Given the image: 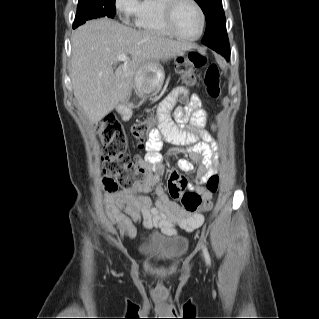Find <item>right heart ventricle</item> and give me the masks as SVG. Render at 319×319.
Wrapping results in <instances>:
<instances>
[{"instance_id": "obj_1", "label": "right heart ventricle", "mask_w": 319, "mask_h": 319, "mask_svg": "<svg viewBox=\"0 0 319 319\" xmlns=\"http://www.w3.org/2000/svg\"><path fill=\"white\" fill-rule=\"evenodd\" d=\"M163 0H143L140 2L135 17V24L141 30L169 36L162 14Z\"/></svg>"}]
</instances>
